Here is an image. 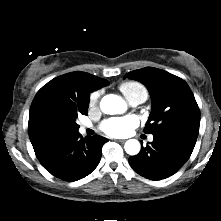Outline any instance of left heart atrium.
I'll use <instances>...</instances> for the list:
<instances>
[{
  "instance_id": "1",
  "label": "left heart atrium",
  "mask_w": 221,
  "mask_h": 221,
  "mask_svg": "<svg viewBox=\"0 0 221 221\" xmlns=\"http://www.w3.org/2000/svg\"><path fill=\"white\" fill-rule=\"evenodd\" d=\"M138 125V119L133 116L113 117L104 121L101 129L112 137H125Z\"/></svg>"
}]
</instances>
